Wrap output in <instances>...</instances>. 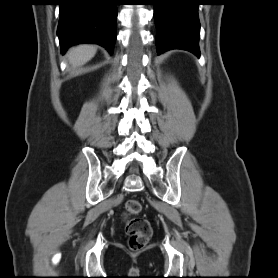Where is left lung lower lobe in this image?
<instances>
[{
	"instance_id": "0a47b994",
	"label": "left lung lower lobe",
	"mask_w": 278,
	"mask_h": 278,
	"mask_svg": "<svg viewBox=\"0 0 278 278\" xmlns=\"http://www.w3.org/2000/svg\"><path fill=\"white\" fill-rule=\"evenodd\" d=\"M157 52L182 49L200 56V0H154Z\"/></svg>"
}]
</instances>
